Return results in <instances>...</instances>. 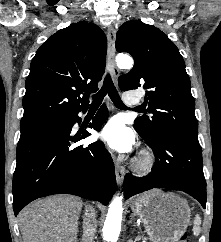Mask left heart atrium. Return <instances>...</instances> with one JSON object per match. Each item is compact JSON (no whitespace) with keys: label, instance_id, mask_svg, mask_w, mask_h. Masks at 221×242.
<instances>
[{"label":"left heart atrium","instance_id":"39dd6f15","mask_svg":"<svg viewBox=\"0 0 221 242\" xmlns=\"http://www.w3.org/2000/svg\"><path fill=\"white\" fill-rule=\"evenodd\" d=\"M99 137L107 145L119 152H129L135 144L133 132L118 117L112 118L104 125Z\"/></svg>","mask_w":221,"mask_h":242}]
</instances>
